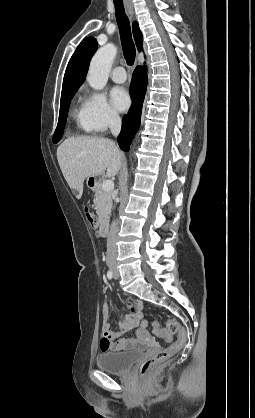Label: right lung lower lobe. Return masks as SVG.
<instances>
[{"label": "right lung lower lobe", "instance_id": "1", "mask_svg": "<svg viewBox=\"0 0 255 418\" xmlns=\"http://www.w3.org/2000/svg\"><path fill=\"white\" fill-rule=\"evenodd\" d=\"M147 87V74L145 68L138 66L133 72L130 94L132 97V107L122 120V130L118 137V144L124 151L129 150V145L139 129L142 105Z\"/></svg>", "mask_w": 255, "mask_h": 418}]
</instances>
